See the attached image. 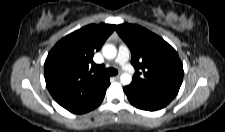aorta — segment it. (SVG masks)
<instances>
[{
	"label": "aorta",
	"mask_w": 225,
	"mask_h": 132,
	"mask_svg": "<svg viewBox=\"0 0 225 132\" xmlns=\"http://www.w3.org/2000/svg\"><path fill=\"white\" fill-rule=\"evenodd\" d=\"M102 54L106 59H114L117 55V49L112 44H106L102 48ZM120 81L123 85H129L132 81V77L129 73H123L120 76Z\"/></svg>",
	"instance_id": "obj_1"
}]
</instances>
